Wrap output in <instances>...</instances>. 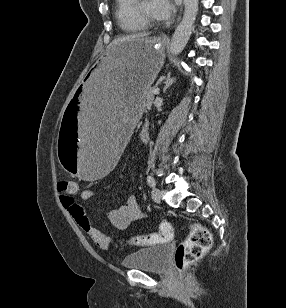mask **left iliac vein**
I'll return each instance as SVG.
<instances>
[{"label": "left iliac vein", "mask_w": 286, "mask_h": 308, "mask_svg": "<svg viewBox=\"0 0 286 308\" xmlns=\"http://www.w3.org/2000/svg\"><path fill=\"white\" fill-rule=\"evenodd\" d=\"M151 197L154 202H160L162 197V192L158 188H153L151 192Z\"/></svg>", "instance_id": "1"}]
</instances>
